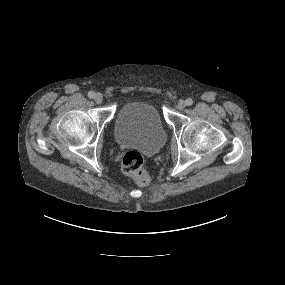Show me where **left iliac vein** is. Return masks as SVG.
<instances>
[{
  "instance_id": "obj_1",
  "label": "left iliac vein",
  "mask_w": 285,
  "mask_h": 285,
  "mask_svg": "<svg viewBox=\"0 0 285 285\" xmlns=\"http://www.w3.org/2000/svg\"><path fill=\"white\" fill-rule=\"evenodd\" d=\"M185 106H186L185 101H183V100H179V101H178V103H177V108H178L179 110H183V109L185 108Z\"/></svg>"
}]
</instances>
